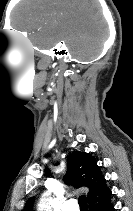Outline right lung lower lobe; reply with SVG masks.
Returning <instances> with one entry per match:
<instances>
[{
  "instance_id": "1",
  "label": "right lung lower lobe",
  "mask_w": 133,
  "mask_h": 211,
  "mask_svg": "<svg viewBox=\"0 0 133 211\" xmlns=\"http://www.w3.org/2000/svg\"><path fill=\"white\" fill-rule=\"evenodd\" d=\"M90 207V211H115L114 206L111 202V197L103 202L94 204Z\"/></svg>"
}]
</instances>
